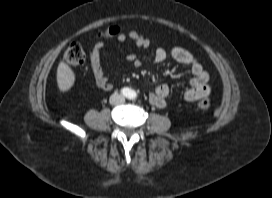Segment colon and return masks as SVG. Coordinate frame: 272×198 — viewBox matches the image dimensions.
I'll list each match as a JSON object with an SVG mask.
<instances>
[{"label": "colon", "mask_w": 272, "mask_h": 198, "mask_svg": "<svg viewBox=\"0 0 272 198\" xmlns=\"http://www.w3.org/2000/svg\"><path fill=\"white\" fill-rule=\"evenodd\" d=\"M119 31L118 27L112 26L100 32L98 37L102 39L113 38L119 34ZM85 58V51L79 43L72 42L66 47L64 60L68 65L72 67L81 66L85 62ZM197 105L201 110H207L210 107V100L208 97L201 98Z\"/></svg>", "instance_id": "1"}]
</instances>
